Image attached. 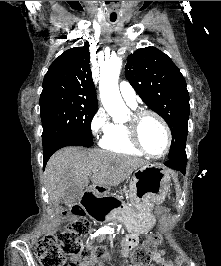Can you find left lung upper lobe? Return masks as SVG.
Listing matches in <instances>:
<instances>
[{"instance_id": "1", "label": "left lung upper lobe", "mask_w": 221, "mask_h": 266, "mask_svg": "<svg viewBox=\"0 0 221 266\" xmlns=\"http://www.w3.org/2000/svg\"><path fill=\"white\" fill-rule=\"evenodd\" d=\"M125 75L145 104L170 127L169 157L185 152L190 105L186 82L178 67L159 49L146 47L128 56Z\"/></svg>"}]
</instances>
